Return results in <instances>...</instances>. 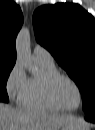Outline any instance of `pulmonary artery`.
<instances>
[{"label":"pulmonary artery","mask_w":95,"mask_h":130,"mask_svg":"<svg viewBox=\"0 0 95 130\" xmlns=\"http://www.w3.org/2000/svg\"><path fill=\"white\" fill-rule=\"evenodd\" d=\"M33 55L37 61H42L46 63L54 62L53 57L50 54V52L40 45H35L34 50H33Z\"/></svg>","instance_id":"e3ab8cb5"}]
</instances>
